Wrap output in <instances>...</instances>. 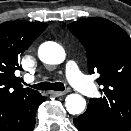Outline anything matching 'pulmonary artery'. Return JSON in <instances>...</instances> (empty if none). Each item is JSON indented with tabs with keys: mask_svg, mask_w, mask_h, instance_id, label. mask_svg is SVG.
Instances as JSON below:
<instances>
[{
	"mask_svg": "<svg viewBox=\"0 0 131 131\" xmlns=\"http://www.w3.org/2000/svg\"><path fill=\"white\" fill-rule=\"evenodd\" d=\"M66 76L69 82L82 94L86 96L94 94V84L81 72L75 61L71 60L67 62Z\"/></svg>",
	"mask_w": 131,
	"mask_h": 131,
	"instance_id": "obj_1",
	"label": "pulmonary artery"
}]
</instances>
